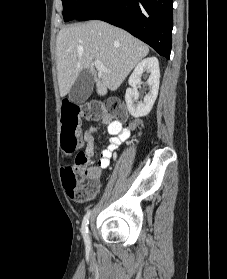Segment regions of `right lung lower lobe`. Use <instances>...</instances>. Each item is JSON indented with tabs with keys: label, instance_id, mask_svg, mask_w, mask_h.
Listing matches in <instances>:
<instances>
[{
	"label": "right lung lower lobe",
	"instance_id": "right-lung-lower-lobe-1",
	"mask_svg": "<svg viewBox=\"0 0 227 279\" xmlns=\"http://www.w3.org/2000/svg\"><path fill=\"white\" fill-rule=\"evenodd\" d=\"M173 0H92L77 20L99 19L121 27L170 58Z\"/></svg>",
	"mask_w": 227,
	"mask_h": 279
}]
</instances>
